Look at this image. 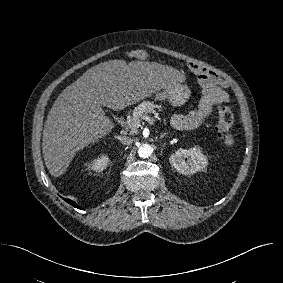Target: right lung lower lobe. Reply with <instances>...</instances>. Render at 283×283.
Returning <instances> with one entry per match:
<instances>
[{"label": "right lung lower lobe", "mask_w": 283, "mask_h": 283, "mask_svg": "<svg viewBox=\"0 0 283 283\" xmlns=\"http://www.w3.org/2000/svg\"><path fill=\"white\" fill-rule=\"evenodd\" d=\"M64 200L68 202L69 204L73 205L74 207L79 208V206L75 202L71 201L70 199H64Z\"/></svg>", "instance_id": "obj_1"}]
</instances>
